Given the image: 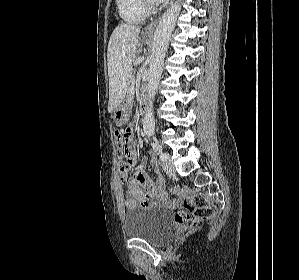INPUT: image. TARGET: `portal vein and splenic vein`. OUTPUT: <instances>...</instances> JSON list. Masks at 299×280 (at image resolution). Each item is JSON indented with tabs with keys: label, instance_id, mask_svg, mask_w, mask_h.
Segmentation results:
<instances>
[{
	"label": "portal vein and splenic vein",
	"instance_id": "18ae733b",
	"mask_svg": "<svg viewBox=\"0 0 299 280\" xmlns=\"http://www.w3.org/2000/svg\"><path fill=\"white\" fill-rule=\"evenodd\" d=\"M134 90H135L134 85H131V86L129 87V92H130L131 94H133V93H134Z\"/></svg>",
	"mask_w": 299,
	"mask_h": 280
}]
</instances>
